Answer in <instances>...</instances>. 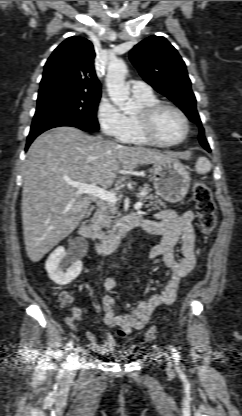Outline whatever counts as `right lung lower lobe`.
Instances as JSON below:
<instances>
[{
	"instance_id": "1",
	"label": "right lung lower lobe",
	"mask_w": 242,
	"mask_h": 416,
	"mask_svg": "<svg viewBox=\"0 0 242 416\" xmlns=\"http://www.w3.org/2000/svg\"><path fill=\"white\" fill-rule=\"evenodd\" d=\"M59 126H73V127L80 128L81 130H84V131H91V130H88L86 126H84L81 122H76L72 120H61L59 122H50V123L41 124V125L31 128L30 133L27 138L25 151H27L29 145L39 134H41L42 132L48 129L59 127Z\"/></svg>"
}]
</instances>
